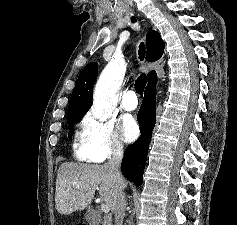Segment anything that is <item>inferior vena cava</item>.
<instances>
[{
  "label": "inferior vena cava",
  "mask_w": 237,
  "mask_h": 225,
  "mask_svg": "<svg viewBox=\"0 0 237 225\" xmlns=\"http://www.w3.org/2000/svg\"><path fill=\"white\" fill-rule=\"evenodd\" d=\"M123 158V147L115 142L111 146V156L106 164L109 168L117 186V199L114 209L115 225H122L126 210V198L124 194V178L120 172V165Z\"/></svg>",
  "instance_id": "inferior-vena-cava-1"
}]
</instances>
